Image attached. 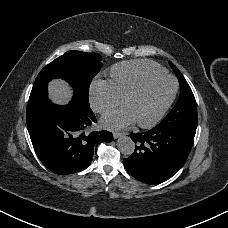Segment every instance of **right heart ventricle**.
I'll return each mask as SVG.
<instances>
[{"instance_id": "1", "label": "right heart ventricle", "mask_w": 228, "mask_h": 228, "mask_svg": "<svg viewBox=\"0 0 228 228\" xmlns=\"http://www.w3.org/2000/svg\"><path fill=\"white\" fill-rule=\"evenodd\" d=\"M163 73L166 70L156 63L124 62L112 68L111 82L123 99L144 79Z\"/></svg>"}]
</instances>
